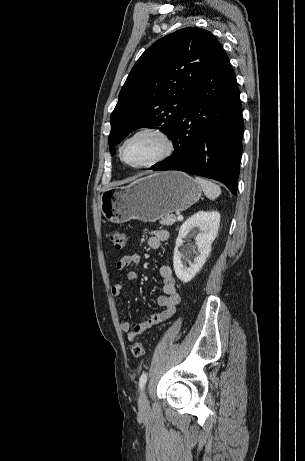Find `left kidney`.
Wrapping results in <instances>:
<instances>
[{"mask_svg":"<svg viewBox=\"0 0 305 461\" xmlns=\"http://www.w3.org/2000/svg\"><path fill=\"white\" fill-rule=\"evenodd\" d=\"M220 225V213L217 211H199L185 221L179 229L176 239V247L173 255V265L176 276L184 283L191 281L197 272L205 264L207 257L211 252V244L217 236ZM195 234L196 246L193 249H185L183 238L189 233ZM196 254L193 262L189 266L183 265L182 258L191 254Z\"/></svg>","mask_w":305,"mask_h":461,"instance_id":"1","label":"left kidney"}]
</instances>
